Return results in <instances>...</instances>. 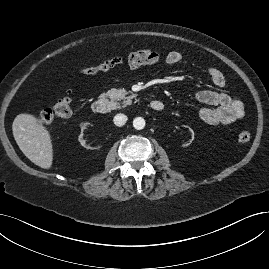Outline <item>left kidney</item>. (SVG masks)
Returning a JSON list of instances; mask_svg holds the SVG:
<instances>
[{
	"mask_svg": "<svg viewBox=\"0 0 269 269\" xmlns=\"http://www.w3.org/2000/svg\"><path fill=\"white\" fill-rule=\"evenodd\" d=\"M184 127L188 129L187 135L191 136L189 143L185 142V144H183L184 146H188L194 140V131L189 126H184Z\"/></svg>",
	"mask_w": 269,
	"mask_h": 269,
	"instance_id": "obj_1",
	"label": "left kidney"
}]
</instances>
